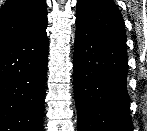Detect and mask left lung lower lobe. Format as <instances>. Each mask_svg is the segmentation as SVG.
<instances>
[{
  "instance_id": "left-lung-lower-lobe-1",
  "label": "left lung lower lobe",
  "mask_w": 147,
  "mask_h": 131,
  "mask_svg": "<svg viewBox=\"0 0 147 131\" xmlns=\"http://www.w3.org/2000/svg\"><path fill=\"white\" fill-rule=\"evenodd\" d=\"M126 43L76 20L74 94L78 131H132Z\"/></svg>"
}]
</instances>
